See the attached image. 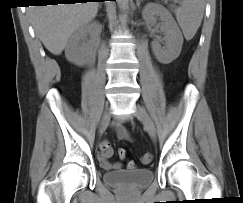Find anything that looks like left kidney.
<instances>
[{
	"label": "left kidney",
	"mask_w": 243,
	"mask_h": 203,
	"mask_svg": "<svg viewBox=\"0 0 243 203\" xmlns=\"http://www.w3.org/2000/svg\"><path fill=\"white\" fill-rule=\"evenodd\" d=\"M142 17L149 24H155L156 17L161 19L160 30L165 34V47L154 41L152 51L160 63H171L180 55L183 44L182 33L171 13L161 5L149 3L144 7Z\"/></svg>",
	"instance_id": "1"
}]
</instances>
